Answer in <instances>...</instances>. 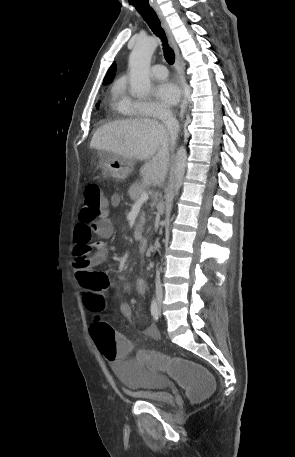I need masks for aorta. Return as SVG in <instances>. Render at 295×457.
Segmentation results:
<instances>
[{"label":"aorta","instance_id":"1","mask_svg":"<svg viewBox=\"0 0 295 457\" xmlns=\"http://www.w3.org/2000/svg\"><path fill=\"white\" fill-rule=\"evenodd\" d=\"M158 46V40L155 37H146L139 39L130 56V86L131 91L137 97H146L151 91L150 81V63L151 58ZM187 163V153L185 147L181 146L176 153V164L174 170V191H178L182 185Z\"/></svg>","mask_w":295,"mask_h":457}]
</instances>
